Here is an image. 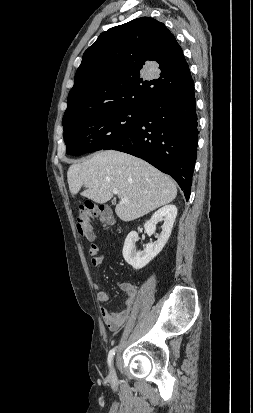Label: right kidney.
Here are the masks:
<instances>
[{
  "label": "right kidney",
  "instance_id": "right-kidney-1",
  "mask_svg": "<svg viewBox=\"0 0 253 413\" xmlns=\"http://www.w3.org/2000/svg\"><path fill=\"white\" fill-rule=\"evenodd\" d=\"M176 216L177 208L172 204L163 206L151 216L150 220L144 225L145 231L149 236L155 232L156 225L160 219H164V224L158 240L154 243H149L143 251H136L135 248L136 241L138 240V233L135 231L130 232L125 239L123 247V257L125 261L136 270L145 267L161 252L167 243Z\"/></svg>",
  "mask_w": 253,
  "mask_h": 413
}]
</instances>
